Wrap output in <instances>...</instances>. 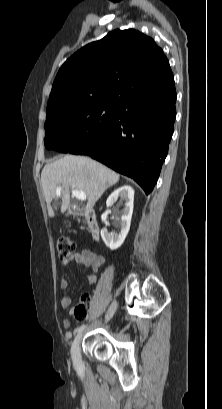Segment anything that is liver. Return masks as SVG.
Returning <instances> with one entry per match:
<instances>
[{
  "mask_svg": "<svg viewBox=\"0 0 222 409\" xmlns=\"http://www.w3.org/2000/svg\"><path fill=\"white\" fill-rule=\"evenodd\" d=\"M119 181V175L101 163L83 156L66 155L44 166L41 184L50 217L54 216L51 202L62 198L61 212L70 204V188L83 191L90 212L106 189ZM61 187V192H57Z\"/></svg>",
  "mask_w": 222,
  "mask_h": 409,
  "instance_id": "obj_1",
  "label": "liver"
}]
</instances>
